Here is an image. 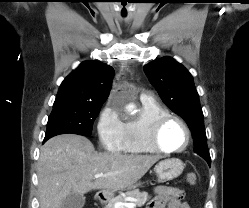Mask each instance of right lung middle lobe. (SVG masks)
I'll list each match as a JSON object with an SVG mask.
<instances>
[{
	"label": "right lung middle lobe",
	"instance_id": "right-lung-middle-lobe-1",
	"mask_svg": "<svg viewBox=\"0 0 249 208\" xmlns=\"http://www.w3.org/2000/svg\"><path fill=\"white\" fill-rule=\"evenodd\" d=\"M103 103H70L53 106L46 137L64 133L91 136L92 126Z\"/></svg>",
	"mask_w": 249,
	"mask_h": 208
}]
</instances>
